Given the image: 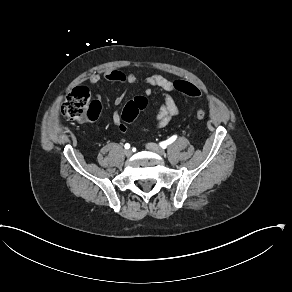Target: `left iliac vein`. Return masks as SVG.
<instances>
[{"label": "left iliac vein", "mask_w": 292, "mask_h": 292, "mask_svg": "<svg viewBox=\"0 0 292 292\" xmlns=\"http://www.w3.org/2000/svg\"><path fill=\"white\" fill-rule=\"evenodd\" d=\"M146 148L149 150V151H152L160 156H164L165 155V151L159 147L157 144H154V143H147L146 144Z\"/></svg>", "instance_id": "left-iliac-vein-1"}]
</instances>
